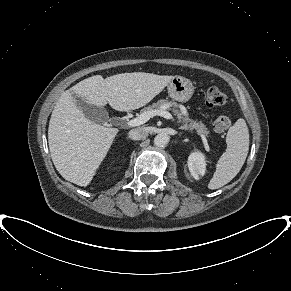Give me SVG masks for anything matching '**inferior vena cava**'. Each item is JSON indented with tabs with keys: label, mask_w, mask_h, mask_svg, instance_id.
<instances>
[{
	"label": "inferior vena cava",
	"mask_w": 291,
	"mask_h": 291,
	"mask_svg": "<svg viewBox=\"0 0 291 291\" xmlns=\"http://www.w3.org/2000/svg\"><path fill=\"white\" fill-rule=\"evenodd\" d=\"M148 136V130L147 128L141 127L136 128L128 133V137L132 140H143Z\"/></svg>",
	"instance_id": "obj_1"
}]
</instances>
